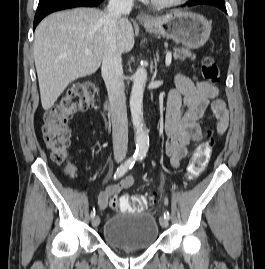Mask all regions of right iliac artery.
Segmentation results:
<instances>
[{
  "mask_svg": "<svg viewBox=\"0 0 265 269\" xmlns=\"http://www.w3.org/2000/svg\"><path fill=\"white\" fill-rule=\"evenodd\" d=\"M137 160V157L134 155L132 157H130L127 161H125L123 164H121L115 174H114V179H118L120 177H122L129 169H131L135 162ZM91 218H93L95 216V208H93V210L91 211L90 214Z\"/></svg>",
  "mask_w": 265,
  "mask_h": 269,
  "instance_id": "82829eb1",
  "label": "right iliac artery"
}]
</instances>
